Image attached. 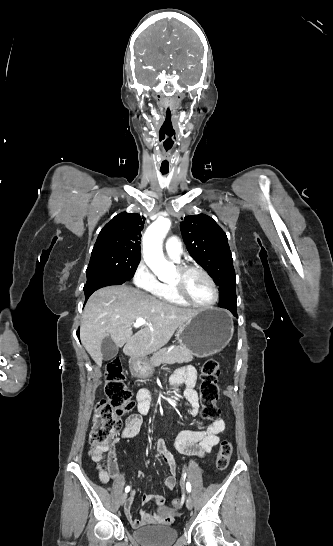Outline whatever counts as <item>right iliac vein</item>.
Returning <instances> with one entry per match:
<instances>
[{
  "mask_svg": "<svg viewBox=\"0 0 333 546\" xmlns=\"http://www.w3.org/2000/svg\"><path fill=\"white\" fill-rule=\"evenodd\" d=\"M126 498H127V494H126V493H123L122 496H121V504H124V503H125Z\"/></svg>",
  "mask_w": 333,
  "mask_h": 546,
  "instance_id": "obj_1",
  "label": "right iliac vein"
}]
</instances>
